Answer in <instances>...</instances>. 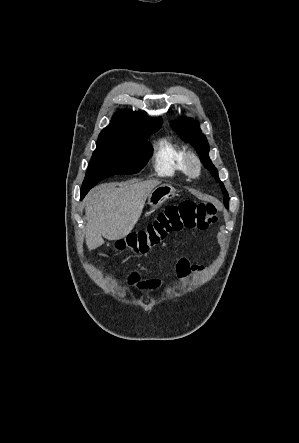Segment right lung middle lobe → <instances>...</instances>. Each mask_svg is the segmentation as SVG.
Masks as SVG:
<instances>
[{"instance_id": "right-lung-middle-lobe-1", "label": "right lung middle lobe", "mask_w": 299, "mask_h": 443, "mask_svg": "<svg viewBox=\"0 0 299 443\" xmlns=\"http://www.w3.org/2000/svg\"><path fill=\"white\" fill-rule=\"evenodd\" d=\"M160 126H148L135 133L99 137L82 184L81 196L109 176L139 172L152 155L151 145L146 140Z\"/></svg>"}]
</instances>
